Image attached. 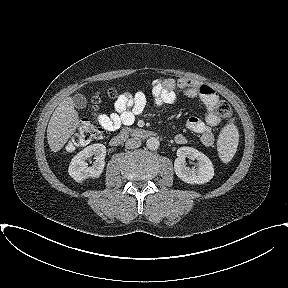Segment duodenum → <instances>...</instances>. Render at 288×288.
Segmentation results:
<instances>
[{"instance_id":"obj_1","label":"duodenum","mask_w":288,"mask_h":288,"mask_svg":"<svg viewBox=\"0 0 288 288\" xmlns=\"http://www.w3.org/2000/svg\"><path fill=\"white\" fill-rule=\"evenodd\" d=\"M155 136V132L143 128L124 129L111 139L110 144L112 146H119L128 138L147 139Z\"/></svg>"}]
</instances>
